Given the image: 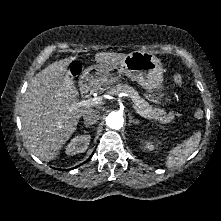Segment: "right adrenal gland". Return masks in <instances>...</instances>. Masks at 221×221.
I'll use <instances>...</instances> for the list:
<instances>
[{"label":"right adrenal gland","instance_id":"2a0ac1e0","mask_svg":"<svg viewBox=\"0 0 221 221\" xmlns=\"http://www.w3.org/2000/svg\"><path fill=\"white\" fill-rule=\"evenodd\" d=\"M84 126H85V128H90V125L85 124Z\"/></svg>","mask_w":221,"mask_h":221}]
</instances>
